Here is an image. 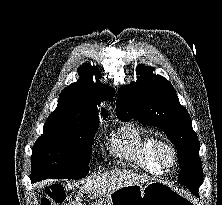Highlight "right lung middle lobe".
<instances>
[{
    "label": "right lung middle lobe",
    "mask_w": 222,
    "mask_h": 205,
    "mask_svg": "<svg viewBox=\"0 0 222 205\" xmlns=\"http://www.w3.org/2000/svg\"><path fill=\"white\" fill-rule=\"evenodd\" d=\"M99 120L46 122L32 149L31 181L47 178L78 180L89 173L94 135Z\"/></svg>",
    "instance_id": "1"
}]
</instances>
